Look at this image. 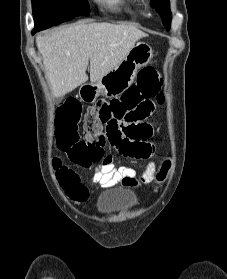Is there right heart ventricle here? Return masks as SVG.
I'll return each instance as SVG.
<instances>
[{"instance_id":"1","label":"right heart ventricle","mask_w":227,"mask_h":279,"mask_svg":"<svg viewBox=\"0 0 227 279\" xmlns=\"http://www.w3.org/2000/svg\"><path fill=\"white\" fill-rule=\"evenodd\" d=\"M105 6L111 10H116L118 6H124L128 9H136L139 7L138 0H101Z\"/></svg>"}]
</instances>
